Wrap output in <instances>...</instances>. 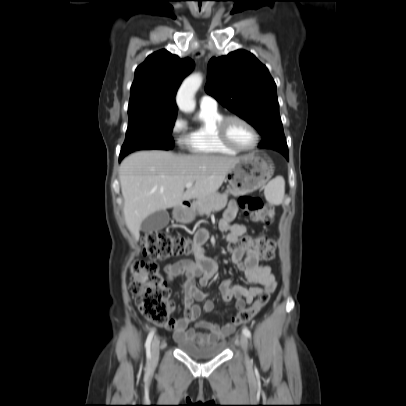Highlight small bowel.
Wrapping results in <instances>:
<instances>
[{"mask_svg":"<svg viewBox=\"0 0 406 406\" xmlns=\"http://www.w3.org/2000/svg\"><path fill=\"white\" fill-rule=\"evenodd\" d=\"M237 213V203L230 201L219 221V229L226 232V240L232 245H237L240 238L247 232L245 224L233 222ZM207 239L208 231L200 229L194 238L195 260H180L168 264L164 268L169 282L176 278H182L181 288L184 292L183 315L180 318L171 319V322L164 326L166 330L173 331L176 341L196 344L214 343L220 341L234 330V327L230 324H212L202 320L198 321L201 313H209L214 308L213 300L209 298V295L202 292L195 285V280L198 278L201 286H207L218 269L216 262L203 253L202 246ZM231 262L243 272L249 283L262 286L269 291L276 289V280L271 267L265 264L257 253L237 249L232 252ZM259 286L246 288L241 285H234L231 279H226L220 284L217 296L223 302L235 300L236 308L242 309L260 294L262 288ZM201 301H204V303L199 306L197 303ZM170 304L171 311H174V305ZM193 323H195V326L190 328Z\"/></svg>","mask_w":406,"mask_h":406,"instance_id":"1","label":"small bowel"}]
</instances>
